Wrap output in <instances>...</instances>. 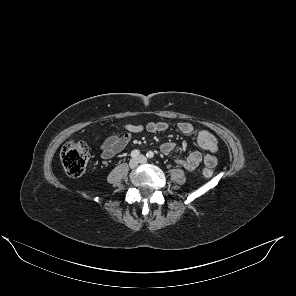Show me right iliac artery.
Wrapping results in <instances>:
<instances>
[{"mask_svg":"<svg viewBox=\"0 0 296 296\" xmlns=\"http://www.w3.org/2000/svg\"><path fill=\"white\" fill-rule=\"evenodd\" d=\"M139 154H140V151L139 150H133L131 152V157L136 158V157L139 156Z\"/></svg>","mask_w":296,"mask_h":296,"instance_id":"obj_1","label":"right iliac artery"}]
</instances>
